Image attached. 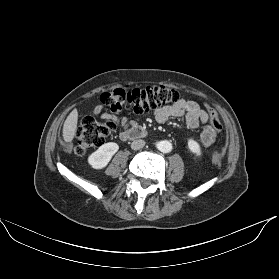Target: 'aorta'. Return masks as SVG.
<instances>
[{
	"label": "aorta",
	"instance_id": "1",
	"mask_svg": "<svg viewBox=\"0 0 279 279\" xmlns=\"http://www.w3.org/2000/svg\"><path fill=\"white\" fill-rule=\"evenodd\" d=\"M156 146L163 153H168L172 150V144L167 140L159 141Z\"/></svg>",
	"mask_w": 279,
	"mask_h": 279
}]
</instances>
